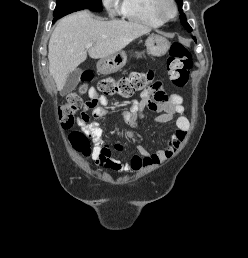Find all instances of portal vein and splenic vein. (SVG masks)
<instances>
[{
  "label": "portal vein and splenic vein",
  "mask_w": 248,
  "mask_h": 258,
  "mask_svg": "<svg viewBox=\"0 0 248 258\" xmlns=\"http://www.w3.org/2000/svg\"><path fill=\"white\" fill-rule=\"evenodd\" d=\"M92 46H93V43H87V45H86L87 48H90Z\"/></svg>",
  "instance_id": "obj_1"
}]
</instances>
